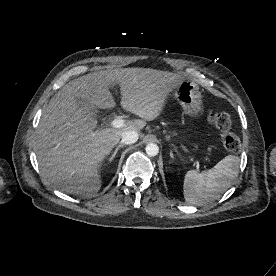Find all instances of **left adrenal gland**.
<instances>
[{
    "instance_id": "a2214340",
    "label": "left adrenal gland",
    "mask_w": 276,
    "mask_h": 276,
    "mask_svg": "<svg viewBox=\"0 0 276 276\" xmlns=\"http://www.w3.org/2000/svg\"><path fill=\"white\" fill-rule=\"evenodd\" d=\"M170 157H171L172 159L174 158L172 151H170Z\"/></svg>"
}]
</instances>
